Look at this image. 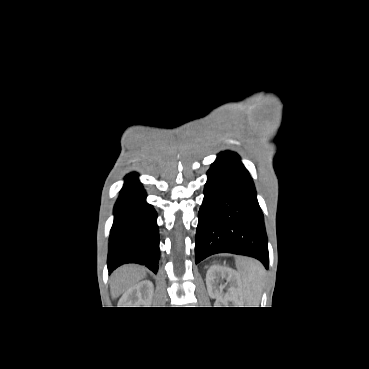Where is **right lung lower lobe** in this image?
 <instances>
[{"instance_id":"right-lung-lower-lobe-1","label":"right lung lower lobe","mask_w":369,"mask_h":369,"mask_svg":"<svg viewBox=\"0 0 369 369\" xmlns=\"http://www.w3.org/2000/svg\"><path fill=\"white\" fill-rule=\"evenodd\" d=\"M136 173L126 182L114 206V223L109 237L108 271L127 263L145 265L154 273L160 256L157 213L145 202L146 193Z\"/></svg>"}]
</instances>
